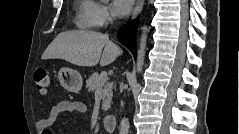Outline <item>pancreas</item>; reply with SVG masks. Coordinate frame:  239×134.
I'll use <instances>...</instances> for the list:
<instances>
[{
    "label": "pancreas",
    "mask_w": 239,
    "mask_h": 134,
    "mask_svg": "<svg viewBox=\"0 0 239 134\" xmlns=\"http://www.w3.org/2000/svg\"><path fill=\"white\" fill-rule=\"evenodd\" d=\"M101 84V86H103L102 89V110L106 111L108 110L111 100H112V88H113V84L110 82H104L101 83L100 82V76L98 75V73H93L87 80H86V87L88 88L89 92H94L96 91V89L99 87V85Z\"/></svg>",
    "instance_id": "pancreas-1"
}]
</instances>
